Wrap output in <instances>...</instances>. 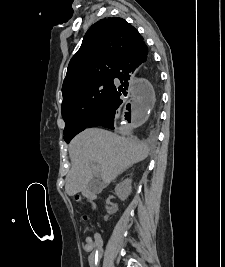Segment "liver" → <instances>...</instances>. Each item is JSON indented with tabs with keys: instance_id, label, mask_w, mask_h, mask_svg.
Wrapping results in <instances>:
<instances>
[{
	"instance_id": "liver-1",
	"label": "liver",
	"mask_w": 225,
	"mask_h": 267,
	"mask_svg": "<svg viewBox=\"0 0 225 267\" xmlns=\"http://www.w3.org/2000/svg\"><path fill=\"white\" fill-rule=\"evenodd\" d=\"M148 147L134 137L90 128L78 134L69 145L72 167L66 176L65 191L69 196L87 190L94 172L104 183H110L129 166L143 161ZM95 163L98 171L92 169Z\"/></svg>"
}]
</instances>
